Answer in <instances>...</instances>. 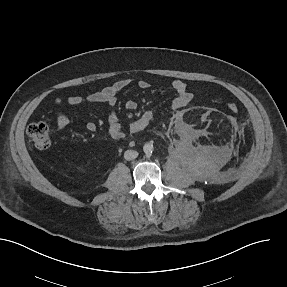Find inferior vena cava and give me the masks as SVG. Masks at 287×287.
I'll return each mask as SVG.
<instances>
[{
    "instance_id": "obj_1",
    "label": "inferior vena cava",
    "mask_w": 287,
    "mask_h": 287,
    "mask_svg": "<svg viewBox=\"0 0 287 287\" xmlns=\"http://www.w3.org/2000/svg\"><path fill=\"white\" fill-rule=\"evenodd\" d=\"M137 156H138V152L135 150H127L124 153V158L128 161L134 160L135 158H137Z\"/></svg>"
}]
</instances>
